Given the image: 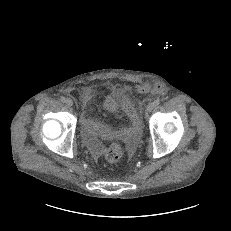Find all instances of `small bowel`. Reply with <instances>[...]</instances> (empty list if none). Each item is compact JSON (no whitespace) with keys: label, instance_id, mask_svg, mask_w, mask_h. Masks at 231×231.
<instances>
[{"label":"small bowel","instance_id":"c3829d8e","mask_svg":"<svg viewBox=\"0 0 231 231\" xmlns=\"http://www.w3.org/2000/svg\"><path fill=\"white\" fill-rule=\"evenodd\" d=\"M94 94V90L91 87H86L82 90V95L85 101H90ZM83 133L87 144L94 152H98L100 150V144L97 141V138H106L110 131L96 123L89 116L88 112H86L83 116ZM121 136L127 138L131 141V143H135L138 133L136 131L130 133H120Z\"/></svg>","mask_w":231,"mask_h":231}]
</instances>
